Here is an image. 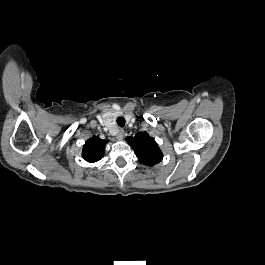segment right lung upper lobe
Masks as SVG:
<instances>
[{
  "label": "right lung upper lobe",
  "instance_id": "1",
  "mask_svg": "<svg viewBox=\"0 0 265 265\" xmlns=\"http://www.w3.org/2000/svg\"><path fill=\"white\" fill-rule=\"evenodd\" d=\"M106 140L94 137L86 141L82 150V157L90 163L99 161L104 155Z\"/></svg>",
  "mask_w": 265,
  "mask_h": 265
}]
</instances>
